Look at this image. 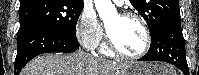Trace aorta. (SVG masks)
<instances>
[{"label": "aorta", "mask_w": 199, "mask_h": 75, "mask_svg": "<svg viewBox=\"0 0 199 75\" xmlns=\"http://www.w3.org/2000/svg\"><path fill=\"white\" fill-rule=\"evenodd\" d=\"M94 3L100 18L103 21H107L109 18L117 16V11L111 0H94Z\"/></svg>", "instance_id": "aorta-1"}]
</instances>
